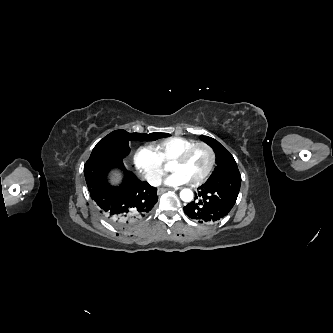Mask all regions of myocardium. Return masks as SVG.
Instances as JSON below:
<instances>
[{
	"instance_id": "myocardium-1",
	"label": "myocardium",
	"mask_w": 333,
	"mask_h": 333,
	"mask_svg": "<svg viewBox=\"0 0 333 333\" xmlns=\"http://www.w3.org/2000/svg\"><path fill=\"white\" fill-rule=\"evenodd\" d=\"M199 147L205 148L209 152V154H210V162H209L208 168L205 171V173L201 177H199L198 179H196L194 181H191V184L193 186L201 185L212 174V172H213V170L215 168L216 160H217V155H216V152H215L214 148L212 146H210L209 144L205 143V142H196V143L192 144L191 146L187 147L186 149H184L172 161V163H174V164H181V163H183L188 158L189 154L194 149L199 148Z\"/></svg>"
}]
</instances>
